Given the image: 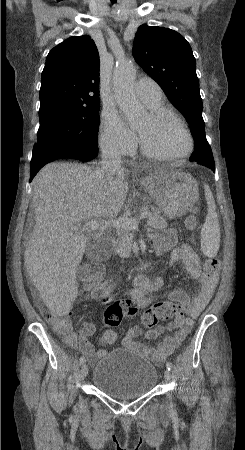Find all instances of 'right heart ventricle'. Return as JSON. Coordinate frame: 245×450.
<instances>
[{"mask_svg": "<svg viewBox=\"0 0 245 450\" xmlns=\"http://www.w3.org/2000/svg\"><path fill=\"white\" fill-rule=\"evenodd\" d=\"M151 108H161V105H160V103H159L158 105L153 106V107H151Z\"/></svg>", "mask_w": 245, "mask_h": 450, "instance_id": "right-heart-ventricle-1", "label": "right heart ventricle"}]
</instances>
